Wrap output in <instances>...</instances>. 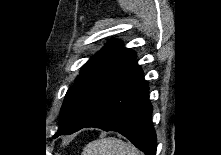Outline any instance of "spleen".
<instances>
[{
	"instance_id": "obj_1",
	"label": "spleen",
	"mask_w": 221,
	"mask_h": 155,
	"mask_svg": "<svg viewBox=\"0 0 221 155\" xmlns=\"http://www.w3.org/2000/svg\"><path fill=\"white\" fill-rule=\"evenodd\" d=\"M82 155H140V152L123 140L107 137L87 144Z\"/></svg>"
}]
</instances>
